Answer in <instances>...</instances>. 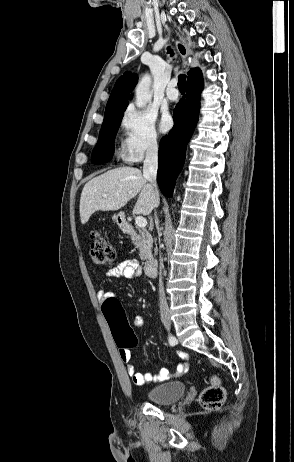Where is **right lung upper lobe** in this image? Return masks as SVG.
Returning a JSON list of instances; mask_svg holds the SVG:
<instances>
[{"label": "right lung upper lobe", "instance_id": "obj_1", "mask_svg": "<svg viewBox=\"0 0 294 462\" xmlns=\"http://www.w3.org/2000/svg\"><path fill=\"white\" fill-rule=\"evenodd\" d=\"M200 74L201 70L199 68L191 69L188 72V80ZM136 83V75L130 72H125L123 76L117 80L107 102L104 118L121 114L125 111L128 105V99L131 98L129 92L132 91Z\"/></svg>", "mask_w": 294, "mask_h": 462}]
</instances>
